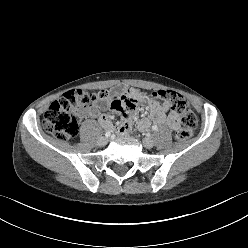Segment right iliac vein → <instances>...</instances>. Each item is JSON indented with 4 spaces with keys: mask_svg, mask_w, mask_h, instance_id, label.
<instances>
[{
    "mask_svg": "<svg viewBox=\"0 0 248 248\" xmlns=\"http://www.w3.org/2000/svg\"><path fill=\"white\" fill-rule=\"evenodd\" d=\"M108 142V138L107 137H100L97 141V144L99 146H105Z\"/></svg>",
    "mask_w": 248,
    "mask_h": 248,
    "instance_id": "1",
    "label": "right iliac vein"
}]
</instances>
